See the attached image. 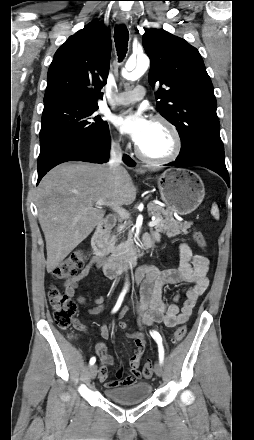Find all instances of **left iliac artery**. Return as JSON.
Returning <instances> with one entry per match:
<instances>
[{
	"instance_id": "left-iliac-artery-1",
	"label": "left iliac artery",
	"mask_w": 254,
	"mask_h": 440,
	"mask_svg": "<svg viewBox=\"0 0 254 440\" xmlns=\"http://www.w3.org/2000/svg\"><path fill=\"white\" fill-rule=\"evenodd\" d=\"M150 333H151V336L155 339V341L158 344V348H159V361H160V364H163L164 348H163V345H162V338H161L160 334L158 332H156V331H152Z\"/></svg>"
}]
</instances>
